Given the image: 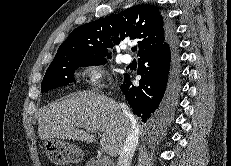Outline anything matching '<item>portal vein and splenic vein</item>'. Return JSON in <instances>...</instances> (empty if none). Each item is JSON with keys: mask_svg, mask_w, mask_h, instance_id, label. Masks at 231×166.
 <instances>
[{"mask_svg": "<svg viewBox=\"0 0 231 166\" xmlns=\"http://www.w3.org/2000/svg\"><path fill=\"white\" fill-rule=\"evenodd\" d=\"M101 159H102L101 162H102L103 164H105L106 166H109V165H110L111 160L109 159L108 156H103Z\"/></svg>", "mask_w": 231, "mask_h": 166, "instance_id": "1", "label": "portal vein and splenic vein"}]
</instances>
